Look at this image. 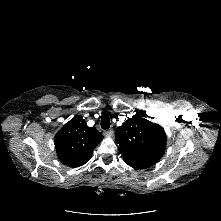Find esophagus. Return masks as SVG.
<instances>
[{"mask_svg":"<svg viewBox=\"0 0 221 221\" xmlns=\"http://www.w3.org/2000/svg\"><path fill=\"white\" fill-rule=\"evenodd\" d=\"M113 133H114V131H113L112 129H109V130H105V131H104V134H105L106 136H108V137L113 136Z\"/></svg>","mask_w":221,"mask_h":221,"instance_id":"1","label":"esophagus"}]
</instances>
